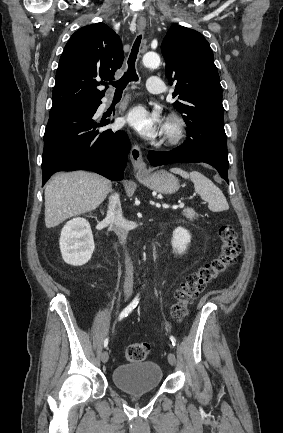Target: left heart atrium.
Returning <instances> with one entry per match:
<instances>
[{
	"label": "left heart atrium",
	"mask_w": 283,
	"mask_h": 433,
	"mask_svg": "<svg viewBox=\"0 0 283 433\" xmlns=\"http://www.w3.org/2000/svg\"><path fill=\"white\" fill-rule=\"evenodd\" d=\"M127 122L145 140H154L164 131V125L156 114H151L141 105L133 107L127 115Z\"/></svg>",
	"instance_id": "39dd6f15"
}]
</instances>
